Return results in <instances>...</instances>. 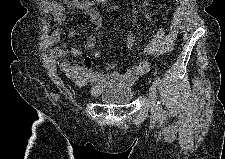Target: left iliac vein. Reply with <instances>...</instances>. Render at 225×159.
<instances>
[{"mask_svg": "<svg viewBox=\"0 0 225 159\" xmlns=\"http://www.w3.org/2000/svg\"><path fill=\"white\" fill-rule=\"evenodd\" d=\"M149 98L151 100V115L153 118H157L159 114V105L157 102L156 86L153 83L149 90Z\"/></svg>", "mask_w": 225, "mask_h": 159, "instance_id": "obj_1", "label": "left iliac vein"}]
</instances>
